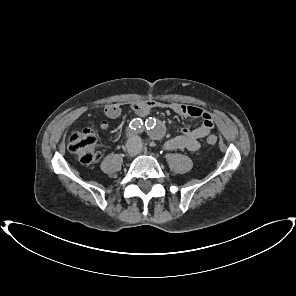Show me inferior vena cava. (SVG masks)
<instances>
[{"instance_id":"1","label":"inferior vena cava","mask_w":296,"mask_h":296,"mask_svg":"<svg viewBox=\"0 0 296 296\" xmlns=\"http://www.w3.org/2000/svg\"><path fill=\"white\" fill-rule=\"evenodd\" d=\"M142 147V140L138 135H132L127 140V148L132 153H138Z\"/></svg>"}]
</instances>
